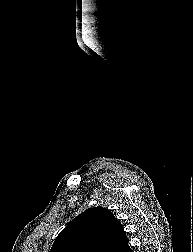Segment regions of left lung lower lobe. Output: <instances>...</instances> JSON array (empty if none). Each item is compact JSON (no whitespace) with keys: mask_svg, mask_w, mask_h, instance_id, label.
<instances>
[{"mask_svg":"<svg viewBox=\"0 0 193 252\" xmlns=\"http://www.w3.org/2000/svg\"><path fill=\"white\" fill-rule=\"evenodd\" d=\"M124 252H133L129 246L124 250Z\"/></svg>","mask_w":193,"mask_h":252,"instance_id":"left-lung-lower-lobe-1","label":"left lung lower lobe"}]
</instances>
